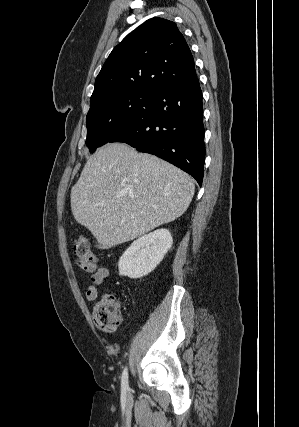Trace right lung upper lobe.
Wrapping results in <instances>:
<instances>
[{
	"label": "right lung upper lobe",
	"mask_w": 299,
	"mask_h": 427,
	"mask_svg": "<svg viewBox=\"0 0 299 427\" xmlns=\"http://www.w3.org/2000/svg\"><path fill=\"white\" fill-rule=\"evenodd\" d=\"M194 78L193 56L182 33L174 22L155 17L112 50L96 78L90 104L122 92L154 95Z\"/></svg>",
	"instance_id": "right-lung-upper-lobe-1"
}]
</instances>
